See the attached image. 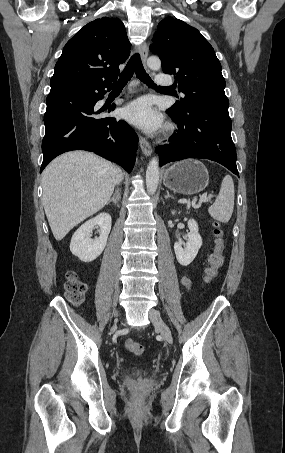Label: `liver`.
Returning a JSON list of instances; mask_svg holds the SVG:
<instances>
[{"label": "liver", "mask_w": 285, "mask_h": 453, "mask_svg": "<svg viewBox=\"0 0 285 453\" xmlns=\"http://www.w3.org/2000/svg\"><path fill=\"white\" fill-rule=\"evenodd\" d=\"M118 180L119 169L90 152L72 151L54 159L42 173V201L55 239L62 240L102 209Z\"/></svg>", "instance_id": "1"}]
</instances>
